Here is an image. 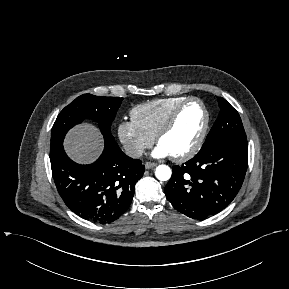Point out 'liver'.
Listing matches in <instances>:
<instances>
[{
  "label": "liver",
  "instance_id": "1",
  "mask_svg": "<svg viewBox=\"0 0 289 289\" xmlns=\"http://www.w3.org/2000/svg\"><path fill=\"white\" fill-rule=\"evenodd\" d=\"M103 148V138L98 128L90 123L77 125L69 131L64 140L68 156L78 163L94 161Z\"/></svg>",
  "mask_w": 289,
  "mask_h": 289
}]
</instances>
